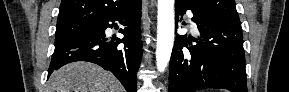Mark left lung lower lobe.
Masks as SVG:
<instances>
[{
  "mask_svg": "<svg viewBox=\"0 0 289 92\" xmlns=\"http://www.w3.org/2000/svg\"><path fill=\"white\" fill-rule=\"evenodd\" d=\"M175 9L182 15L187 9L192 11L200 36L193 39L196 45L186 35L176 36L169 65V92L204 88L247 92L240 23L209 13L187 0H176Z\"/></svg>",
  "mask_w": 289,
  "mask_h": 92,
  "instance_id": "left-lung-lower-lobe-1",
  "label": "left lung lower lobe"
}]
</instances>
